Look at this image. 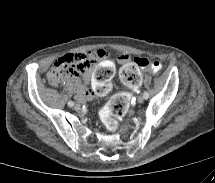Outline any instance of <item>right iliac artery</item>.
<instances>
[{"mask_svg": "<svg viewBox=\"0 0 215 183\" xmlns=\"http://www.w3.org/2000/svg\"><path fill=\"white\" fill-rule=\"evenodd\" d=\"M68 106H69V107H73V106H74V102H73V101H69V102H68Z\"/></svg>", "mask_w": 215, "mask_h": 183, "instance_id": "82829eb1", "label": "right iliac artery"}]
</instances>
